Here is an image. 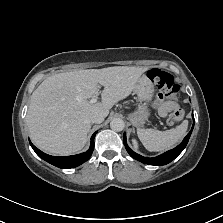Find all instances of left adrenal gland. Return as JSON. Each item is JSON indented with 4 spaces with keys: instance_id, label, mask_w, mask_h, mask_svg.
<instances>
[{
    "instance_id": "left-adrenal-gland-1",
    "label": "left adrenal gland",
    "mask_w": 223,
    "mask_h": 223,
    "mask_svg": "<svg viewBox=\"0 0 223 223\" xmlns=\"http://www.w3.org/2000/svg\"><path fill=\"white\" fill-rule=\"evenodd\" d=\"M133 133H135V129H134V127H133Z\"/></svg>"
}]
</instances>
